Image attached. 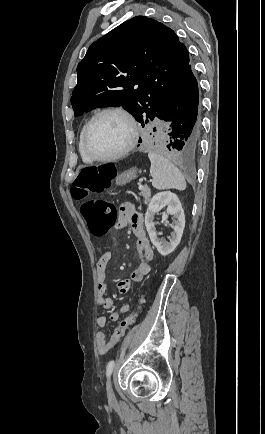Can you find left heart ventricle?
Here are the masks:
<instances>
[{"mask_svg":"<svg viewBox=\"0 0 265 434\" xmlns=\"http://www.w3.org/2000/svg\"><path fill=\"white\" fill-rule=\"evenodd\" d=\"M130 135L129 122L123 115L107 113L95 122L88 143L94 154L104 157L124 149Z\"/></svg>","mask_w":265,"mask_h":434,"instance_id":"obj_1","label":"left heart ventricle"}]
</instances>
